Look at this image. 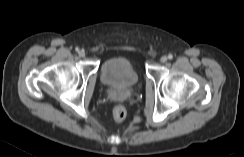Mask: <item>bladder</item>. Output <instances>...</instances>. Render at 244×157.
<instances>
[{
    "mask_svg": "<svg viewBox=\"0 0 244 157\" xmlns=\"http://www.w3.org/2000/svg\"><path fill=\"white\" fill-rule=\"evenodd\" d=\"M99 75L106 87L118 93L133 90L140 79L135 65L123 56H113L103 61Z\"/></svg>",
    "mask_w": 244,
    "mask_h": 157,
    "instance_id": "obj_1",
    "label": "bladder"
}]
</instances>
